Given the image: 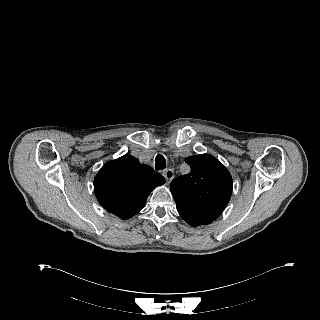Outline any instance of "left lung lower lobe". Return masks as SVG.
<instances>
[{
	"instance_id": "1",
	"label": "left lung lower lobe",
	"mask_w": 320,
	"mask_h": 320,
	"mask_svg": "<svg viewBox=\"0 0 320 320\" xmlns=\"http://www.w3.org/2000/svg\"><path fill=\"white\" fill-rule=\"evenodd\" d=\"M177 205V210L180 216L191 226L197 227L200 225H206L212 223L217 217H212L192 209H189L182 205Z\"/></svg>"
}]
</instances>
